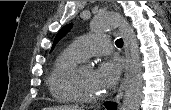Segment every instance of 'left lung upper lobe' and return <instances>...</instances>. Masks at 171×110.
<instances>
[{"label":"left lung upper lobe","instance_id":"left-lung-upper-lobe-1","mask_svg":"<svg viewBox=\"0 0 171 110\" xmlns=\"http://www.w3.org/2000/svg\"><path fill=\"white\" fill-rule=\"evenodd\" d=\"M72 25L71 24H68L66 26H64L56 35L55 39H54V42H53V46H52V49L54 48L55 44L62 38L66 35V33H68L71 29Z\"/></svg>","mask_w":171,"mask_h":110}]
</instances>
